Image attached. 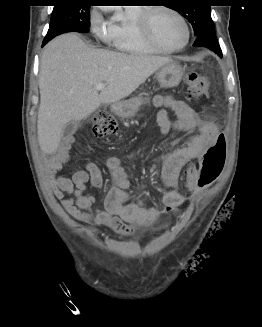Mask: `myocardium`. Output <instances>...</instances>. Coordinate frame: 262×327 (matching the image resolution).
I'll use <instances>...</instances> for the list:
<instances>
[{"label":"myocardium","instance_id":"1","mask_svg":"<svg viewBox=\"0 0 262 327\" xmlns=\"http://www.w3.org/2000/svg\"><path fill=\"white\" fill-rule=\"evenodd\" d=\"M167 11L175 15L184 25L186 31V38L184 43L176 48H168L163 46L154 36L151 28V15L155 11ZM136 24L139 32L143 38L155 49L164 52V53H174L183 50L189 43L191 38V30L186 18L175 8L167 5H155L150 7H145L141 10L140 14L137 17Z\"/></svg>","mask_w":262,"mask_h":327}]
</instances>
